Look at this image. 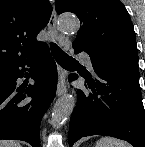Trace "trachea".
Returning a JSON list of instances; mask_svg holds the SVG:
<instances>
[{"label": "trachea", "mask_w": 145, "mask_h": 147, "mask_svg": "<svg viewBox=\"0 0 145 147\" xmlns=\"http://www.w3.org/2000/svg\"><path fill=\"white\" fill-rule=\"evenodd\" d=\"M51 51H52V55L55 58V60L57 61V63L63 67L75 65L78 63L74 58H72L68 54H66L55 43H51Z\"/></svg>", "instance_id": "obj_1"}]
</instances>
